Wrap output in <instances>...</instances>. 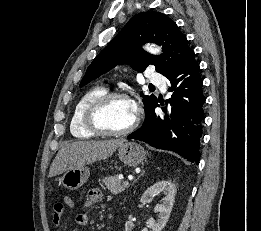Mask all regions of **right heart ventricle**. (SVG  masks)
Wrapping results in <instances>:
<instances>
[{
  "label": "right heart ventricle",
  "instance_id": "1",
  "mask_svg": "<svg viewBox=\"0 0 261 231\" xmlns=\"http://www.w3.org/2000/svg\"><path fill=\"white\" fill-rule=\"evenodd\" d=\"M107 92L105 87L97 86L86 92L77 102L70 119V131L74 137L86 139L96 135L86 127L85 113L91 103Z\"/></svg>",
  "mask_w": 261,
  "mask_h": 231
}]
</instances>
